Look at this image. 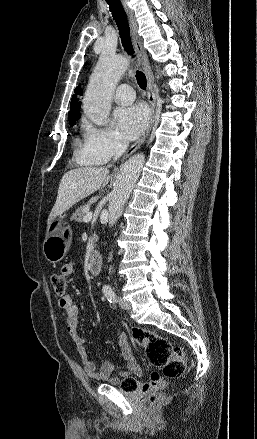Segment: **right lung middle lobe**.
<instances>
[{
  "instance_id": "obj_1",
  "label": "right lung middle lobe",
  "mask_w": 257,
  "mask_h": 439,
  "mask_svg": "<svg viewBox=\"0 0 257 439\" xmlns=\"http://www.w3.org/2000/svg\"><path fill=\"white\" fill-rule=\"evenodd\" d=\"M79 119L78 113L76 112H70L69 113V123L71 126H74L76 124V121Z\"/></svg>"
}]
</instances>
